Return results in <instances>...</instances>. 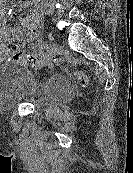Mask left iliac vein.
<instances>
[{"mask_svg": "<svg viewBox=\"0 0 133 173\" xmlns=\"http://www.w3.org/2000/svg\"><path fill=\"white\" fill-rule=\"evenodd\" d=\"M59 47L55 42H51L48 47L47 56L44 62L40 63L37 68H42L43 66L50 63V61L58 54Z\"/></svg>", "mask_w": 133, "mask_h": 173, "instance_id": "obj_1", "label": "left iliac vein"}]
</instances>
